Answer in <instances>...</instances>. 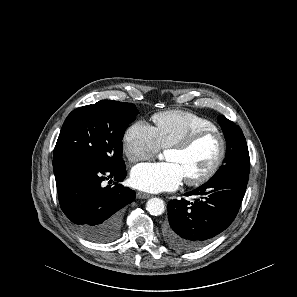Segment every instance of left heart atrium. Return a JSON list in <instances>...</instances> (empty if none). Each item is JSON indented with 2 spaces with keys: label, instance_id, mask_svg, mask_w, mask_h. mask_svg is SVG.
I'll return each mask as SVG.
<instances>
[{
  "label": "left heart atrium",
  "instance_id": "39dd6f15",
  "mask_svg": "<svg viewBox=\"0 0 297 297\" xmlns=\"http://www.w3.org/2000/svg\"><path fill=\"white\" fill-rule=\"evenodd\" d=\"M185 180L182 167L172 161L141 163L130 174L131 184L147 192H161L176 189Z\"/></svg>",
  "mask_w": 297,
  "mask_h": 297
}]
</instances>
